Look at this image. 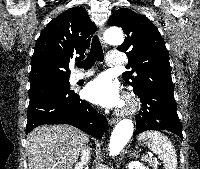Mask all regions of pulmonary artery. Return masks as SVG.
I'll use <instances>...</instances> for the list:
<instances>
[{
  "instance_id": "1",
  "label": "pulmonary artery",
  "mask_w": 200,
  "mask_h": 169,
  "mask_svg": "<svg viewBox=\"0 0 200 169\" xmlns=\"http://www.w3.org/2000/svg\"><path fill=\"white\" fill-rule=\"evenodd\" d=\"M124 62L123 60V57H122V54L118 51H111L109 54H108V60H107V65L108 66H118V65H122ZM92 75V73H87V74H84V73H76L74 76H73V82H77L79 80H82V79H85V78H88Z\"/></svg>"
}]
</instances>
